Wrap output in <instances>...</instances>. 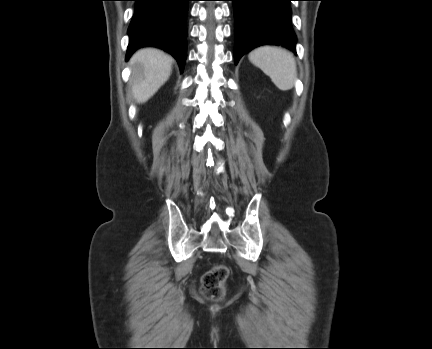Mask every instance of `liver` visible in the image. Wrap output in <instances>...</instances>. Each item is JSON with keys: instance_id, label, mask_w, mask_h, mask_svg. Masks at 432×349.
Listing matches in <instances>:
<instances>
[{"instance_id": "6515ba94", "label": "liver", "mask_w": 432, "mask_h": 349, "mask_svg": "<svg viewBox=\"0 0 432 349\" xmlns=\"http://www.w3.org/2000/svg\"><path fill=\"white\" fill-rule=\"evenodd\" d=\"M172 57L155 48H143L130 59L132 91L139 103L150 99L168 80Z\"/></svg>"}]
</instances>
